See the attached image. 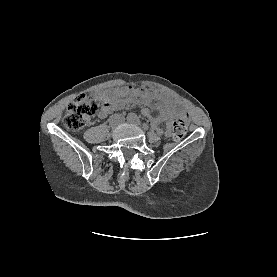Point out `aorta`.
I'll return each instance as SVG.
<instances>
[{
    "instance_id": "1",
    "label": "aorta",
    "mask_w": 277,
    "mask_h": 277,
    "mask_svg": "<svg viewBox=\"0 0 277 277\" xmlns=\"http://www.w3.org/2000/svg\"><path fill=\"white\" fill-rule=\"evenodd\" d=\"M134 119H136V114L130 113V114L128 115V120H129V121H132V120H134Z\"/></svg>"
}]
</instances>
